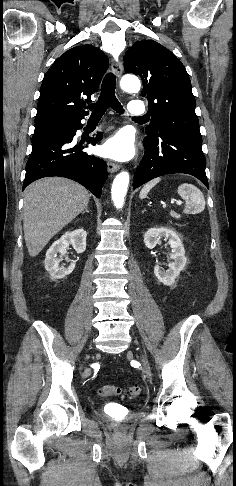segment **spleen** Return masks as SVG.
I'll return each instance as SVG.
<instances>
[{
    "label": "spleen",
    "instance_id": "obj_1",
    "mask_svg": "<svg viewBox=\"0 0 236 486\" xmlns=\"http://www.w3.org/2000/svg\"><path fill=\"white\" fill-rule=\"evenodd\" d=\"M160 178L153 179L146 183L140 191L139 197L145 198L149 191L160 181ZM178 194L186 201L184 213L197 214L204 210L205 199L202 192L189 183L181 184L177 189Z\"/></svg>",
    "mask_w": 236,
    "mask_h": 486
}]
</instances>
